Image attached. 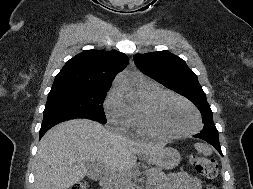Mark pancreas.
<instances>
[{
	"label": "pancreas",
	"instance_id": "pancreas-1",
	"mask_svg": "<svg viewBox=\"0 0 253 189\" xmlns=\"http://www.w3.org/2000/svg\"><path fill=\"white\" fill-rule=\"evenodd\" d=\"M166 175L158 168H152L148 172V179L152 185H159L164 182Z\"/></svg>",
	"mask_w": 253,
	"mask_h": 189
}]
</instances>
